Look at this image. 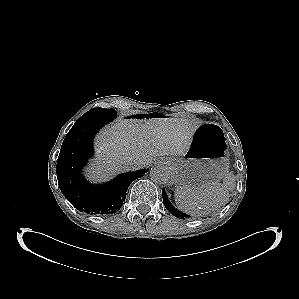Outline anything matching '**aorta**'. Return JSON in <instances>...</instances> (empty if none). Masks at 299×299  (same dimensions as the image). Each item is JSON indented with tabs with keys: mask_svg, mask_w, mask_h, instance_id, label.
I'll return each instance as SVG.
<instances>
[{
	"mask_svg": "<svg viewBox=\"0 0 299 299\" xmlns=\"http://www.w3.org/2000/svg\"><path fill=\"white\" fill-rule=\"evenodd\" d=\"M150 177L156 183L165 184L170 180V171L164 165H156L150 170Z\"/></svg>",
	"mask_w": 299,
	"mask_h": 299,
	"instance_id": "aorta-1",
	"label": "aorta"
}]
</instances>
